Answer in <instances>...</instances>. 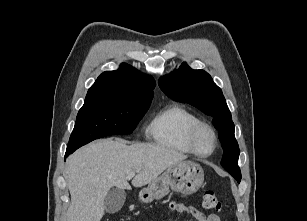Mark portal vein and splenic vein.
Here are the masks:
<instances>
[{"instance_id": "1", "label": "portal vein and splenic vein", "mask_w": 307, "mask_h": 221, "mask_svg": "<svg viewBox=\"0 0 307 221\" xmlns=\"http://www.w3.org/2000/svg\"><path fill=\"white\" fill-rule=\"evenodd\" d=\"M135 176V172H131V173H129L128 174V179H131V178H133Z\"/></svg>"}]
</instances>
